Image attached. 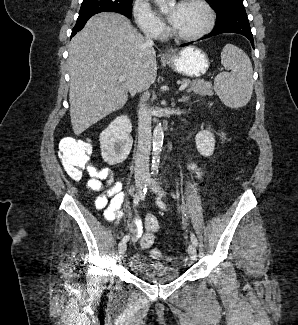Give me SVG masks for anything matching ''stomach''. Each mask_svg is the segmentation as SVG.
Returning <instances> with one entry per match:
<instances>
[{
  "label": "stomach",
  "mask_w": 298,
  "mask_h": 325,
  "mask_svg": "<svg viewBox=\"0 0 298 325\" xmlns=\"http://www.w3.org/2000/svg\"><path fill=\"white\" fill-rule=\"evenodd\" d=\"M164 60L174 72L189 76V78H199L206 74L210 66V58L199 46H184L180 50L172 52L171 56H164Z\"/></svg>",
  "instance_id": "1"
}]
</instances>
